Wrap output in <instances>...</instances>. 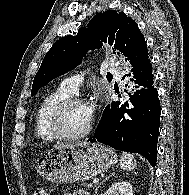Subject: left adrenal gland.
<instances>
[{
    "label": "left adrenal gland",
    "mask_w": 189,
    "mask_h": 195,
    "mask_svg": "<svg viewBox=\"0 0 189 195\" xmlns=\"http://www.w3.org/2000/svg\"><path fill=\"white\" fill-rule=\"evenodd\" d=\"M111 176H114V173H112L111 175L107 176V177H106V178H105V179L96 187L95 193L97 192L99 186H100L103 182H105L106 180H108Z\"/></svg>",
    "instance_id": "obj_1"
}]
</instances>
